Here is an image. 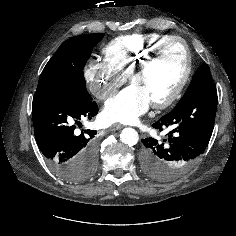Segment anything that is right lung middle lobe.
Instances as JSON below:
<instances>
[{
    "label": "right lung middle lobe",
    "mask_w": 236,
    "mask_h": 236,
    "mask_svg": "<svg viewBox=\"0 0 236 236\" xmlns=\"http://www.w3.org/2000/svg\"><path fill=\"white\" fill-rule=\"evenodd\" d=\"M104 34H86L63 42L44 67L35 94L55 93L92 100L86 90L83 68L94 46ZM93 158L77 170L76 181L88 178L96 169Z\"/></svg>",
    "instance_id": "1"
}]
</instances>
